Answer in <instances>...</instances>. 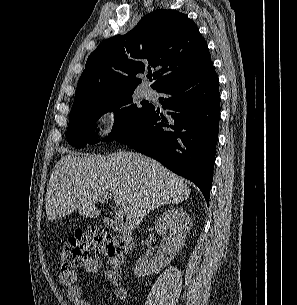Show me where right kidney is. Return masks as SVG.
I'll return each mask as SVG.
<instances>
[{"label": "right kidney", "instance_id": "obj_1", "mask_svg": "<svg viewBox=\"0 0 297 305\" xmlns=\"http://www.w3.org/2000/svg\"><path fill=\"white\" fill-rule=\"evenodd\" d=\"M191 226L192 220L182 208L165 211L155 224V230L163 236L161 251L150 261L146 257H140L135 264L134 275L140 278L159 273L183 247Z\"/></svg>", "mask_w": 297, "mask_h": 305}]
</instances>
